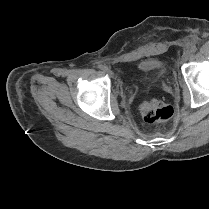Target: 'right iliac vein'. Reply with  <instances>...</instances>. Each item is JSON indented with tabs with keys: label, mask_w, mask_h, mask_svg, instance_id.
Listing matches in <instances>:
<instances>
[{
	"label": "right iliac vein",
	"mask_w": 209,
	"mask_h": 209,
	"mask_svg": "<svg viewBox=\"0 0 209 209\" xmlns=\"http://www.w3.org/2000/svg\"><path fill=\"white\" fill-rule=\"evenodd\" d=\"M104 72H106L110 76H113L114 75V73L108 67H105Z\"/></svg>",
	"instance_id": "1"
}]
</instances>
